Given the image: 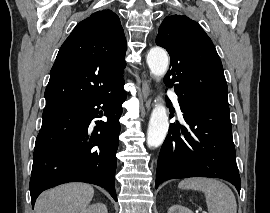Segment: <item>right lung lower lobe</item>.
<instances>
[{
	"mask_svg": "<svg viewBox=\"0 0 270 213\" xmlns=\"http://www.w3.org/2000/svg\"><path fill=\"white\" fill-rule=\"evenodd\" d=\"M123 85L91 99L44 108L30 179L32 207L42 191L67 182L102 186L117 201L116 152L126 99ZM99 108L108 120L96 121L99 125L93 128L91 120L102 115Z\"/></svg>",
	"mask_w": 270,
	"mask_h": 213,
	"instance_id": "98d812e1",
	"label": "right lung lower lobe"
}]
</instances>
